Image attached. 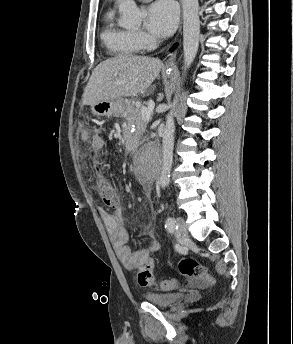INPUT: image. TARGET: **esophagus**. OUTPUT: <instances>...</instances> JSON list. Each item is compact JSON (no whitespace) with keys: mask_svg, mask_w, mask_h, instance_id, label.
Masks as SVG:
<instances>
[{"mask_svg":"<svg viewBox=\"0 0 293 344\" xmlns=\"http://www.w3.org/2000/svg\"><path fill=\"white\" fill-rule=\"evenodd\" d=\"M180 2H181V0H180ZM181 28H182V26H181V24H180L179 33H181ZM175 59H176V54L173 53V54L170 56V58L167 60V62H166V68H167V69L174 66Z\"/></svg>","mask_w":293,"mask_h":344,"instance_id":"esophagus-1","label":"esophagus"}]
</instances>
